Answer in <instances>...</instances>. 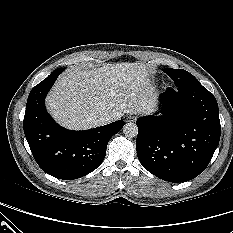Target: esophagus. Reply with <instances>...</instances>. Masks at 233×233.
I'll use <instances>...</instances> for the list:
<instances>
[{
    "label": "esophagus",
    "mask_w": 233,
    "mask_h": 233,
    "mask_svg": "<svg viewBox=\"0 0 233 233\" xmlns=\"http://www.w3.org/2000/svg\"><path fill=\"white\" fill-rule=\"evenodd\" d=\"M136 119H137V117H136L135 115H133V114H129V115H127L126 118H125V120H126L127 122H135Z\"/></svg>",
    "instance_id": "obj_1"
}]
</instances>
